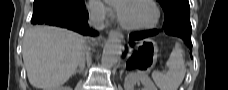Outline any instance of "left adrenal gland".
Wrapping results in <instances>:
<instances>
[{"instance_id":"1","label":"left adrenal gland","mask_w":228,"mask_h":90,"mask_svg":"<svg viewBox=\"0 0 228 90\" xmlns=\"http://www.w3.org/2000/svg\"><path fill=\"white\" fill-rule=\"evenodd\" d=\"M123 72H124V69H122V70H121V72H120V76H122Z\"/></svg>"}]
</instances>
